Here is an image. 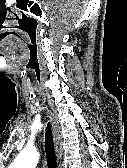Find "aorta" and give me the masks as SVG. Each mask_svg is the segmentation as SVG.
<instances>
[{"label": "aorta", "mask_w": 127, "mask_h": 168, "mask_svg": "<svg viewBox=\"0 0 127 168\" xmlns=\"http://www.w3.org/2000/svg\"><path fill=\"white\" fill-rule=\"evenodd\" d=\"M39 154L33 148H25L14 160L9 168H35Z\"/></svg>", "instance_id": "aorta-1"}]
</instances>
